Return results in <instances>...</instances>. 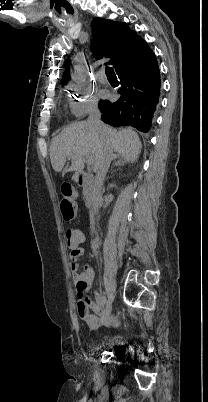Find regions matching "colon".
I'll return each instance as SVG.
<instances>
[{
    "instance_id": "5ec220e1",
    "label": "colon",
    "mask_w": 208,
    "mask_h": 402,
    "mask_svg": "<svg viewBox=\"0 0 208 402\" xmlns=\"http://www.w3.org/2000/svg\"><path fill=\"white\" fill-rule=\"evenodd\" d=\"M75 191V187L71 183H63L60 187V194L62 197H70ZM64 213V221L65 222H74L75 221V205H64L62 208ZM65 239L67 246L71 248L70 259L73 263L78 261L77 256L84 254L83 248L79 247V240L81 239L79 233L74 229H69L65 233ZM84 297L79 298V312L82 318L86 317L88 314V306L92 305V298L88 297V288L84 289Z\"/></svg>"
}]
</instances>
